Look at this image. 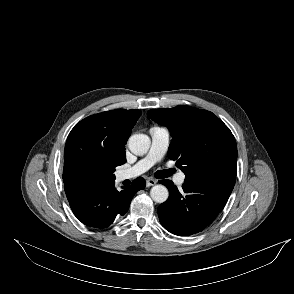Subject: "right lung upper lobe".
I'll list each match as a JSON object with an SVG mask.
<instances>
[{"mask_svg":"<svg viewBox=\"0 0 294 294\" xmlns=\"http://www.w3.org/2000/svg\"><path fill=\"white\" fill-rule=\"evenodd\" d=\"M141 115L139 110L116 109L91 115L75 125L68 135L64 150V189L77 185L66 175L69 164L89 157L110 162L114 167L126 162L125 144ZM113 180H104L96 186Z\"/></svg>","mask_w":294,"mask_h":294,"instance_id":"obj_1","label":"right lung upper lobe"}]
</instances>
